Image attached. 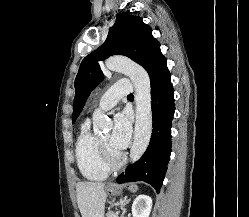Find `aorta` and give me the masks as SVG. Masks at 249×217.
<instances>
[{
  "mask_svg": "<svg viewBox=\"0 0 249 217\" xmlns=\"http://www.w3.org/2000/svg\"><path fill=\"white\" fill-rule=\"evenodd\" d=\"M111 71L127 74L135 89L136 122L134 140L130 150V160L136 162L145 153L152 134L151 83L148 73L132 61L115 56L105 62ZM110 126L106 116L97 110L93 115V127L96 132Z\"/></svg>",
  "mask_w": 249,
  "mask_h": 217,
  "instance_id": "762f6f07",
  "label": "aorta"
}]
</instances>
